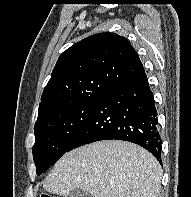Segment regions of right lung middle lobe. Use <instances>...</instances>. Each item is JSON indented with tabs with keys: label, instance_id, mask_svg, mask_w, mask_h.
Listing matches in <instances>:
<instances>
[{
	"label": "right lung middle lobe",
	"instance_id": "dd1d6c3e",
	"mask_svg": "<svg viewBox=\"0 0 191 197\" xmlns=\"http://www.w3.org/2000/svg\"><path fill=\"white\" fill-rule=\"evenodd\" d=\"M96 104L97 101L71 106L35 124V144L32 151L38 174L44 173L68 151Z\"/></svg>",
	"mask_w": 191,
	"mask_h": 197
}]
</instances>
